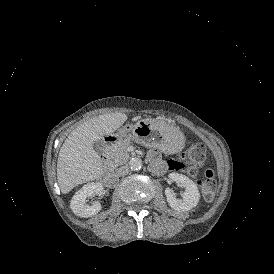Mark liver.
Returning a JSON list of instances; mask_svg holds the SVG:
<instances>
[{
	"label": "liver",
	"mask_w": 274,
	"mask_h": 274,
	"mask_svg": "<svg viewBox=\"0 0 274 274\" xmlns=\"http://www.w3.org/2000/svg\"><path fill=\"white\" fill-rule=\"evenodd\" d=\"M125 120L126 115L119 112L100 115L71 132L61 147L57 163L58 184L63 193L101 176V159L92 145L103 135L113 132Z\"/></svg>",
	"instance_id": "6515ba94"
}]
</instances>
